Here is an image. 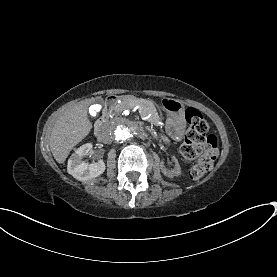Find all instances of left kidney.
Instances as JSON below:
<instances>
[{"label":"left kidney","mask_w":277,"mask_h":277,"mask_svg":"<svg viewBox=\"0 0 277 277\" xmlns=\"http://www.w3.org/2000/svg\"><path fill=\"white\" fill-rule=\"evenodd\" d=\"M173 159H174V162H175V167H174L173 170H166L163 167L161 168L162 173L165 176L169 177V178H173L174 176H178V175L181 174V168H180V165L178 163V160L175 157H173Z\"/></svg>","instance_id":"1"}]
</instances>
